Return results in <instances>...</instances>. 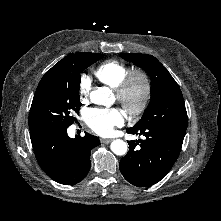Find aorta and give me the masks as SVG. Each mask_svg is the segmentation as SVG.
Wrapping results in <instances>:
<instances>
[{"label":"aorta","mask_w":221,"mask_h":221,"mask_svg":"<svg viewBox=\"0 0 221 221\" xmlns=\"http://www.w3.org/2000/svg\"><path fill=\"white\" fill-rule=\"evenodd\" d=\"M110 90L107 88L99 87L90 93V99L93 103L105 105L109 101ZM112 152L116 155L122 156L127 153V144L120 139H116L110 146Z\"/></svg>","instance_id":"obj_1"}]
</instances>
